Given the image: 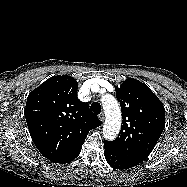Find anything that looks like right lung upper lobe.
I'll return each mask as SVG.
<instances>
[{"mask_svg": "<svg viewBox=\"0 0 187 187\" xmlns=\"http://www.w3.org/2000/svg\"><path fill=\"white\" fill-rule=\"evenodd\" d=\"M77 81L68 75L47 79L27 98L25 117L41 154L54 163H68L80 153L88 132L101 125L87 103L77 98Z\"/></svg>", "mask_w": 187, "mask_h": 187, "instance_id": "cb5924a9", "label": "right lung upper lobe"}]
</instances>
